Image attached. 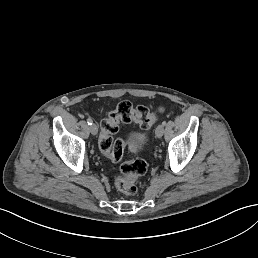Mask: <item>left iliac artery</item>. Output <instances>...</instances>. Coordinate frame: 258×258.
Here are the masks:
<instances>
[{"instance_id": "left-iliac-artery-1", "label": "left iliac artery", "mask_w": 258, "mask_h": 258, "mask_svg": "<svg viewBox=\"0 0 258 258\" xmlns=\"http://www.w3.org/2000/svg\"><path fill=\"white\" fill-rule=\"evenodd\" d=\"M166 124H167V122L164 120V121L162 122V125H163V126H166Z\"/></svg>"}]
</instances>
